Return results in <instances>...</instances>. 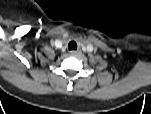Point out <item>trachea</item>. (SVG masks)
Wrapping results in <instances>:
<instances>
[{"mask_svg":"<svg viewBox=\"0 0 151 114\" xmlns=\"http://www.w3.org/2000/svg\"><path fill=\"white\" fill-rule=\"evenodd\" d=\"M69 50H76L77 49V43L75 41H70L68 44Z\"/></svg>","mask_w":151,"mask_h":114,"instance_id":"obj_1","label":"trachea"}]
</instances>
